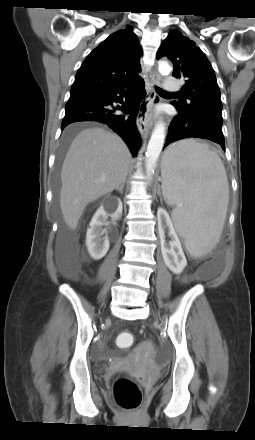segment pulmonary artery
I'll return each instance as SVG.
<instances>
[{
    "mask_svg": "<svg viewBox=\"0 0 255 440\" xmlns=\"http://www.w3.org/2000/svg\"><path fill=\"white\" fill-rule=\"evenodd\" d=\"M164 86L168 92H177L180 89L179 84L171 76L166 78Z\"/></svg>",
    "mask_w": 255,
    "mask_h": 440,
    "instance_id": "obj_1",
    "label": "pulmonary artery"
}]
</instances>
